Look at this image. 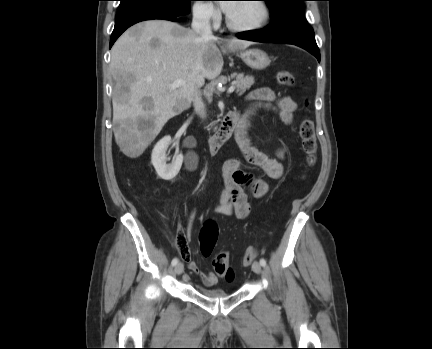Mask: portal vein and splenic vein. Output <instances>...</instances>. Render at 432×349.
<instances>
[{
    "instance_id": "obj_1",
    "label": "portal vein and splenic vein",
    "mask_w": 432,
    "mask_h": 349,
    "mask_svg": "<svg viewBox=\"0 0 432 349\" xmlns=\"http://www.w3.org/2000/svg\"><path fill=\"white\" fill-rule=\"evenodd\" d=\"M184 84H185V81H183L182 79H177L176 81H174V82L170 85V88H171V89H175V88H178V87H180V86H182V85H184ZM234 90H235V86L232 85V86H230V87L228 88L227 92H228V93H233Z\"/></svg>"
}]
</instances>
